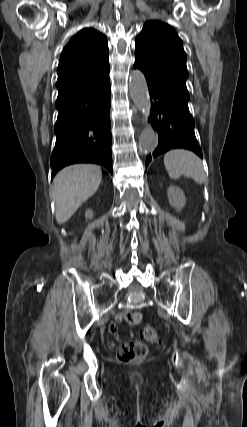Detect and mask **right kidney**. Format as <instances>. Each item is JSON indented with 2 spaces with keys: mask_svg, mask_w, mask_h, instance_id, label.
<instances>
[{
  "mask_svg": "<svg viewBox=\"0 0 247 427\" xmlns=\"http://www.w3.org/2000/svg\"><path fill=\"white\" fill-rule=\"evenodd\" d=\"M85 217H86V219H92L93 218V211L90 209L86 210Z\"/></svg>",
  "mask_w": 247,
  "mask_h": 427,
  "instance_id": "obj_1",
  "label": "right kidney"
}]
</instances>
